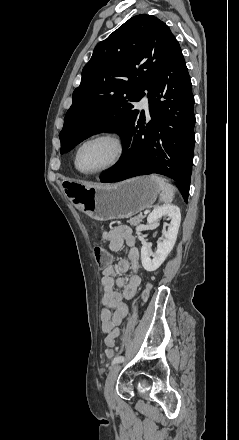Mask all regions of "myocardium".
Masks as SVG:
<instances>
[{
	"instance_id": "f54148a6",
	"label": "myocardium",
	"mask_w": 239,
	"mask_h": 440,
	"mask_svg": "<svg viewBox=\"0 0 239 440\" xmlns=\"http://www.w3.org/2000/svg\"><path fill=\"white\" fill-rule=\"evenodd\" d=\"M100 139H106L111 141L114 146H115V156L113 158V160L105 167L98 169L96 171H91V172H85L82 171L79 168V155L80 152L82 150V148L89 142L91 141H95V140H100ZM125 151H126V145L125 142L123 140V138L116 132L113 131H101V132H97L95 134H92L88 137H86L77 147L76 153H75V157H74V164L76 169L78 170V172H80L83 175L86 176H95V175H101L104 173H107L111 170H113L114 168H116L120 162L122 161L124 155H125Z\"/></svg>"
}]
</instances>
